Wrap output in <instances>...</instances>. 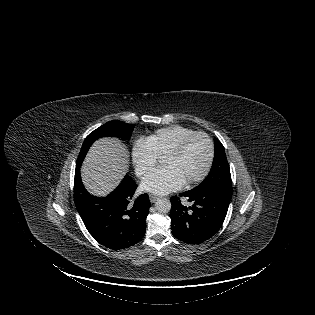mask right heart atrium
Instances as JSON below:
<instances>
[{"label":"right heart atrium","mask_w":315,"mask_h":315,"mask_svg":"<svg viewBox=\"0 0 315 315\" xmlns=\"http://www.w3.org/2000/svg\"><path fill=\"white\" fill-rule=\"evenodd\" d=\"M158 156L145 139L137 141L132 148V162L139 177H145L156 165Z\"/></svg>","instance_id":"d8ad5b80"}]
</instances>
